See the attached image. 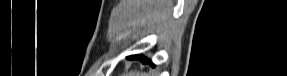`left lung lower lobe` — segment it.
Listing matches in <instances>:
<instances>
[{"mask_svg":"<svg viewBox=\"0 0 287 76\" xmlns=\"http://www.w3.org/2000/svg\"><path fill=\"white\" fill-rule=\"evenodd\" d=\"M131 59H139L140 61H142L143 63H150L152 66H154V64H152V62L150 60H148L147 58L141 56V55H133L130 56Z\"/></svg>","mask_w":287,"mask_h":76,"instance_id":"obj_1","label":"left lung lower lobe"}]
</instances>
